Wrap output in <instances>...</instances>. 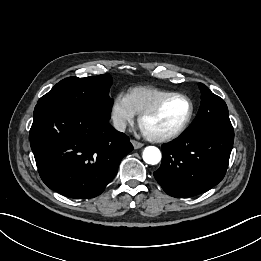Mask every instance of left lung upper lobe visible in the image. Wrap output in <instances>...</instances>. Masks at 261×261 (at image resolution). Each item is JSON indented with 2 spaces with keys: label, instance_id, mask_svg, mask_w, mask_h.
Segmentation results:
<instances>
[{
  "label": "left lung upper lobe",
  "instance_id": "1",
  "mask_svg": "<svg viewBox=\"0 0 261 261\" xmlns=\"http://www.w3.org/2000/svg\"><path fill=\"white\" fill-rule=\"evenodd\" d=\"M199 88L201 90V106L195 120L185 132L232 125L227 105L223 99L213 94L202 83H199Z\"/></svg>",
  "mask_w": 261,
  "mask_h": 261
}]
</instances>
